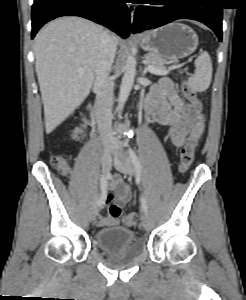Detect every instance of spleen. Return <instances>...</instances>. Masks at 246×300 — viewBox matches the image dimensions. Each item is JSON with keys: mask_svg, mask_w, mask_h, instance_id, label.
Masks as SVG:
<instances>
[{"mask_svg": "<svg viewBox=\"0 0 246 300\" xmlns=\"http://www.w3.org/2000/svg\"><path fill=\"white\" fill-rule=\"evenodd\" d=\"M195 74L188 79L190 87L197 92L206 91L212 79V61L210 55L204 51L195 60Z\"/></svg>", "mask_w": 246, "mask_h": 300, "instance_id": "obj_1", "label": "spleen"}]
</instances>
